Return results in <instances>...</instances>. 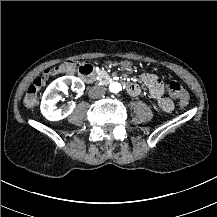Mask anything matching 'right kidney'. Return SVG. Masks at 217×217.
I'll return each instance as SVG.
<instances>
[{"label":"right kidney","instance_id":"obj_1","mask_svg":"<svg viewBox=\"0 0 217 217\" xmlns=\"http://www.w3.org/2000/svg\"><path fill=\"white\" fill-rule=\"evenodd\" d=\"M71 89L75 90L76 93L80 94L85 89L84 83L77 77L74 76H63L53 81L48 88L45 90L40 110L41 114L46 120L55 122L66 118L75 109V103L71 102L63 107L59 108L57 103L62 100L60 92H67Z\"/></svg>","mask_w":217,"mask_h":217}]
</instances>
